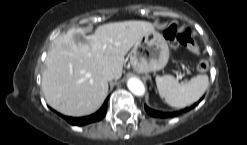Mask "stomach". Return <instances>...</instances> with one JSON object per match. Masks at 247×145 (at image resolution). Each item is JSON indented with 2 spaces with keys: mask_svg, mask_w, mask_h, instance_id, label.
<instances>
[{
  "mask_svg": "<svg viewBox=\"0 0 247 145\" xmlns=\"http://www.w3.org/2000/svg\"><path fill=\"white\" fill-rule=\"evenodd\" d=\"M130 64L137 73H149L163 69L169 60V47L165 38L153 31L137 41L130 54Z\"/></svg>",
  "mask_w": 247,
  "mask_h": 145,
  "instance_id": "obj_1",
  "label": "stomach"
}]
</instances>
